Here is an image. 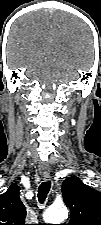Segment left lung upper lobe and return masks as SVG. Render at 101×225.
<instances>
[{
  "mask_svg": "<svg viewBox=\"0 0 101 225\" xmlns=\"http://www.w3.org/2000/svg\"><path fill=\"white\" fill-rule=\"evenodd\" d=\"M71 217L68 225H101V194L78 177L65 179L61 187Z\"/></svg>",
  "mask_w": 101,
  "mask_h": 225,
  "instance_id": "left-lung-upper-lobe-1",
  "label": "left lung upper lobe"
}]
</instances>
